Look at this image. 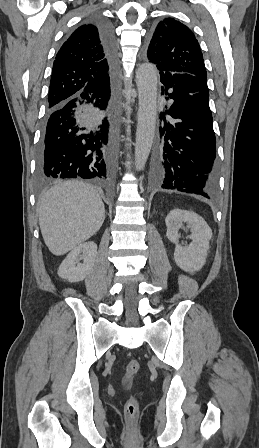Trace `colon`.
Returning a JSON list of instances; mask_svg holds the SVG:
<instances>
[{"label": "colon", "instance_id": "colon-1", "mask_svg": "<svg viewBox=\"0 0 259 448\" xmlns=\"http://www.w3.org/2000/svg\"><path fill=\"white\" fill-rule=\"evenodd\" d=\"M140 368V364L136 359L128 362L125 370L127 377L135 375ZM139 413V404L136 398H130L125 404V416L130 426L134 425Z\"/></svg>", "mask_w": 259, "mask_h": 448}]
</instances>
